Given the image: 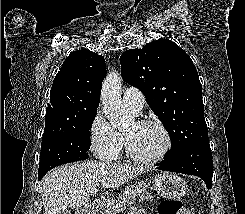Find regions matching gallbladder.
<instances>
[{
  "label": "gallbladder",
  "instance_id": "bac80fb5",
  "mask_svg": "<svg viewBox=\"0 0 245 214\" xmlns=\"http://www.w3.org/2000/svg\"><path fill=\"white\" fill-rule=\"evenodd\" d=\"M59 214H71L69 210L60 211Z\"/></svg>",
  "mask_w": 245,
  "mask_h": 214
}]
</instances>
